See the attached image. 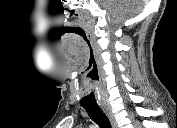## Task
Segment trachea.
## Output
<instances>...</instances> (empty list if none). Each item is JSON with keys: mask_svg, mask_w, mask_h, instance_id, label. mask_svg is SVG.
I'll return each mask as SVG.
<instances>
[{"mask_svg": "<svg viewBox=\"0 0 177 128\" xmlns=\"http://www.w3.org/2000/svg\"><path fill=\"white\" fill-rule=\"evenodd\" d=\"M90 118L100 127V128H112L108 117L100 109L99 106H84Z\"/></svg>", "mask_w": 177, "mask_h": 128, "instance_id": "trachea-1", "label": "trachea"}]
</instances>
